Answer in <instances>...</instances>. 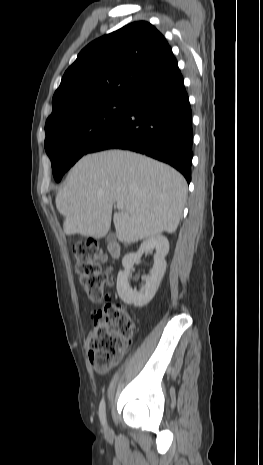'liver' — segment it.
I'll return each mask as SVG.
<instances>
[{"label":"liver","mask_w":263,"mask_h":465,"mask_svg":"<svg viewBox=\"0 0 263 465\" xmlns=\"http://www.w3.org/2000/svg\"><path fill=\"white\" fill-rule=\"evenodd\" d=\"M186 195L187 183L172 167L130 151L108 150L74 165L56 207L66 235L100 238L110 229L113 204L123 203L113 223L118 240L131 244L174 233Z\"/></svg>","instance_id":"6515ba94"}]
</instances>
